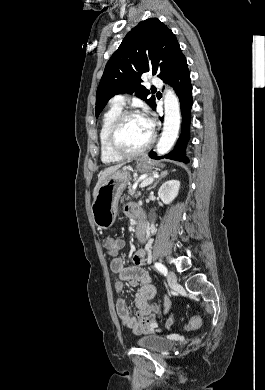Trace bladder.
<instances>
[{
  "instance_id": "1",
  "label": "bladder",
  "mask_w": 265,
  "mask_h": 390,
  "mask_svg": "<svg viewBox=\"0 0 265 390\" xmlns=\"http://www.w3.org/2000/svg\"><path fill=\"white\" fill-rule=\"evenodd\" d=\"M136 343L151 352H163L172 346L168 338L159 335H143L136 340Z\"/></svg>"
}]
</instances>
